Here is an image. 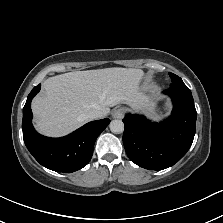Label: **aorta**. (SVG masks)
I'll return each instance as SVG.
<instances>
[{"instance_id": "obj_1", "label": "aorta", "mask_w": 223, "mask_h": 223, "mask_svg": "<svg viewBox=\"0 0 223 223\" xmlns=\"http://www.w3.org/2000/svg\"><path fill=\"white\" fill-rule=\"evenodd\" d=\"M109 127H110L111 132L113 133H121L124 130V124L122 120H119V119L112 120L110 122Z\"/></svg>"}]
</instances>
